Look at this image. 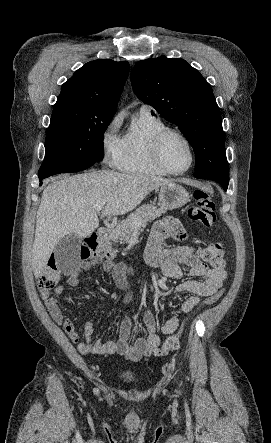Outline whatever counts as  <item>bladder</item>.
<instances>
[{"instance_id": "bladder-1", "label": "bladder", "mask_w": 271, "mask_h": 443, "mask_svg": "<svg viewBox=\"0 0 271 443\" xmlns=\"http://www.w3.org/2000/svg\"><path fill=\"white\" fill-rule=\"evenodd\" d=\"M120 377L127 382L134 381L136 379V373L130 369H124L120 372Z\"/></svg>"}]
</instances>
